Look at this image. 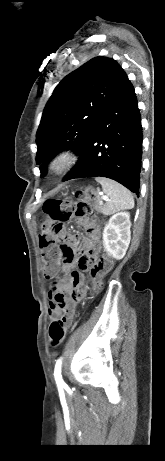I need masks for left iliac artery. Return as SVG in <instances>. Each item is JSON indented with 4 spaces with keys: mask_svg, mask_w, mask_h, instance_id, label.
Returning a JSON list of instances; mask_svg holds the SVG:
<instances>
[{
    "mask_svg": "<svg viewBox=\"0 0 165 461\" xmlns=\"http://www.w3.org/2000/svg\"><path fill=\"white\" fill-rule=\"evenodd\" d=\"M54 377H55V380L58 386L64 385V381L61 375V360L60 359L56 362L55 370H54Z\"/></svg>",
    "mask_w": 165,
    "mask_h": 461,
    "instance_id": "obj_1",
    "label": "left iliac artery"
}]
</instances>
